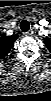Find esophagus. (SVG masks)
Segmentation results:
<instances>
[{"instance_id": "1", "label": "esophagus", "mask_w": 51, "mask_h": 101, "mask_svg": "<svg viewBox=\"0 0 51 101\" xmlns=\"http://www.w3.org/2000/svg\"><path fill=\"white\" fill-rule=\"evenodd\" d=\"M32 34H33V30L32 29L29 30V31L24 32L25 36H31Z\"/></svg>"}]
</instances>
